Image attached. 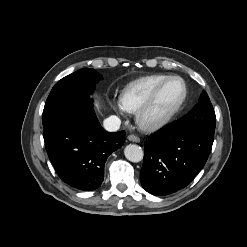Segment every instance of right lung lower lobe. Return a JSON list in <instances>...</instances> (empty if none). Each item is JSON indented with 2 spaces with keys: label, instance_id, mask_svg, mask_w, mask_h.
<instances>
[{
  "label": "right lung lower lobe",
  "instance_id": "obj_1",
  "mask_svg": "<svg viewBox=\"0 0 247 247\" xmlns=\"http://www.w3.org/2000/svg\"><path fill=\"white\" fill-rule=\"evenodd\" d=\"M48 157L61 180L80 190L97 189L106 159L125 141V131L108 133L92 107L73 110L43 124Z\"/></svg>",
  "mask_w": 247,
  "mask_h": 247
}]
</instances>
